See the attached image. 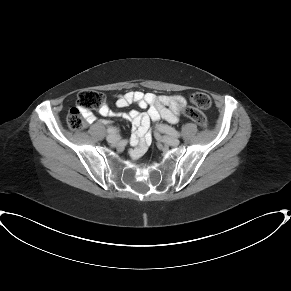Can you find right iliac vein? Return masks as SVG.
Listing matches in <instances>:
<instances>
[{
	"label": "right iliac vein",
	"instance_id": "1",
	"mask_svg": "<svg viewBox=\"0 0 291 291\" xmlns=\"http://www.w3.org/2000/svg\"><path fill=\"white\" fill-rule=\"evenodd\" d=\"M106 139H107V141L109 143H113V144H115V143L120 141V137L118 135H116V134H110V135L107 136Z\"/></svg>",
	"mask_w": 291,
	"mask_h": 291
}]
</instances>
